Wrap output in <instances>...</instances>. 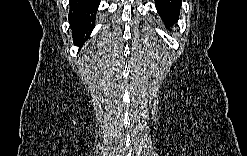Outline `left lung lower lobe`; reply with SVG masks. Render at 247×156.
Listing matches in <instances>:
<instances>
[{
    "label": "left lung lower lobe",
    "instance_id": "1",
    "mask_svg": "<svg viewBox=\"0 0 247 156\" xmlns=\"http://www.w3.org/2000/svg\"><path fill=\"white\" fill-rule=\"evenodd\" d=\"M181 0H156L155 5L166 25L176 22L179 17Z\"/></svg>",
    "mask_w": 247,
    "mask_h": 156
}]
</instances>
